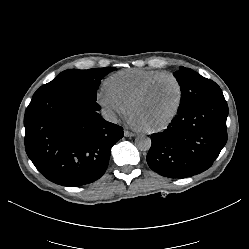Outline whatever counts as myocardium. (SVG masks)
I'll return each mask as SVG.
<instances>
[{
    "label": "myocardium",
    "mask_w": 249,
    "mask_h": 249,
    "mask_svg": "<svg viewBox=\"0 0 249 249\" xmlns=\"http://www.w3.org/2000/svg\"><path fill=\"white\" fill-rule=\"evenodd\" d=\"M166 77L171 78L178 87V91H179L178 103L173 113L165 121L161 122L160 124L154 127L144 128V131L147 133H157V132L165 130L173 123V121L179 115L182 104H183V100H184V88H183L181 81L175 74L170 73V72H164V73L158 74L152 77L151 79H149L147 82H145L128 103V108L131 111L134 104L137 101H139L148 92V90L152 87V85L156 81L162 78H166Z\"/></svg>",
    "instance_id": "myocardium-1"
}]
</instances>
